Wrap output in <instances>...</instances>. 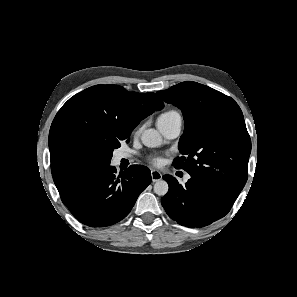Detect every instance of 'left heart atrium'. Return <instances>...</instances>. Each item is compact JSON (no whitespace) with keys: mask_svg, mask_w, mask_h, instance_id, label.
Listing matches in <instances>:
<instances>
[{"mask_svg":"<svg viewBox=\"0 0 297 297\" xmlns=\"http://www.w3.org/2000/svg\"><path fill=\"white\" fill-rule=\"evenodd\" d=\"M162 162H163V159L161 158V157H155V158H153L152 159V163L154 164V165H161L162 164Z\"/></svg>","mask_w":297,"mask_h":297,"instance_id":"obj_1","label":"left heart atrium"}]
</instances>
